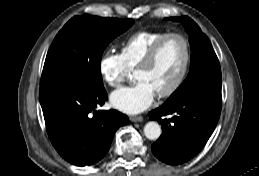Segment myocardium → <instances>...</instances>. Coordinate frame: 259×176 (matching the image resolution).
Instances as JSON below:
<instances>
[{"instance_id": "f54148a6", "label": "myocardium", "mask_w": 259, "mask_h": 176, "mask_svg": "<svg viewBox=\"0 0 259 176\" xmlns=\"http://www.w3.org/2000/svg\"><path fill=\"white\" fill-rule=\"evenodd\" d=\"M169 38H178L182 41L184 46V61L183 65L180 69V72L174 82L165 90L160 91L157 93V96L160 98H167L171 95H173L183 84L186 75L188 73L190 63H191V45L186 36H184L181 33L177 32H169L166 33L164 36H162L160 39H158L154 45L150 48L148 53L145 55V57L141 60V62L137 65L135 68L136 71L139 69L147 68L150 65L153 64V62L156 60V57L162 47V45L167 41Z\"/></svg>"}]
</instances>
